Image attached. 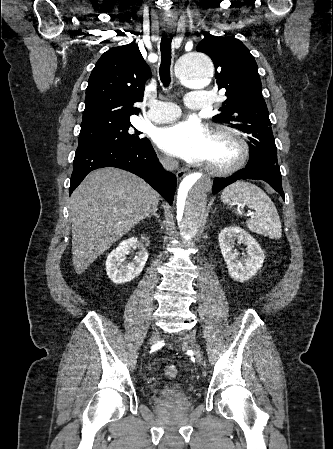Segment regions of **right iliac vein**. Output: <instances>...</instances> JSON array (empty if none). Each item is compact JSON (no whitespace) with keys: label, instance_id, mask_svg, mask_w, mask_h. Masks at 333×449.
<instances>
[{"label":"right iliac vein","instance_id":"obj_1","mask_svg":"<svg viewBox=\"0 0 333 449\" xmlns=\"http://www.w3.org/2000/svg\"><path fill=\"white\" fill-rule=\"evenodd\" d=\"M159 340V332L157 329L153 330L152 335H151V343H155Z\"/></svg>","mask_w":333,"mask_h":449}]
</instances>
